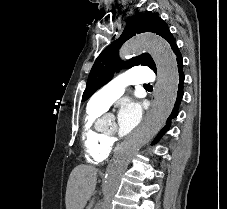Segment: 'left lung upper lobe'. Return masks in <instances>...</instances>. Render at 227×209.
Returning a JSON list of instances; mask_svg holds the SVG:
<instances>
[{"instance_id":"1","label":"left lung upper lobe","mask_w":227,"mask_h":209,"mask_svg":"<svg viewBox=\"0 0 227 209\" xmlns=\"http://www.w3.org/2000/svg\"><path fill=\"white\" fill-rule=\"evenodd\" d=\"M144 32L160 35L167 40L172 50L177 47L167 24L158 16V13H152L151 11L140 12L128 17L126 27L121 36L97 57L90 71L82 100H87L96 90L112 79L115 71L117 72L123 67L124 62L118 57V50L122 44L136 34ZM136 65L148 66L156 72L155 62L148 53L134 57L125 63L126 68Z\"/></svg>"}]
</instances>
